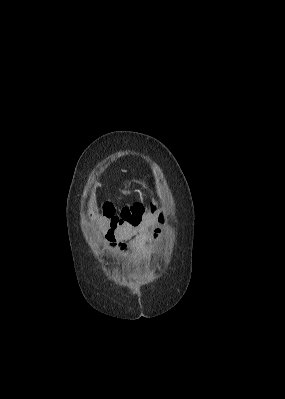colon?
<instances>
[{"label": "colon", "mask_w": 285, "mask_h": 399, "mask_svg": "<svg viewBox=\"0 0 285 399\" xmlns=\"http://www.w3.org/2000/svg\"><path fill=\"white\" fill-rule=\"evenodd\" d=\"M102 214L106 218L105 229L107 232L123 225L124 220L112 210L110 205L104 204L102 206Z\"/></svg>", "instance_id": "1"}]
</instances>
